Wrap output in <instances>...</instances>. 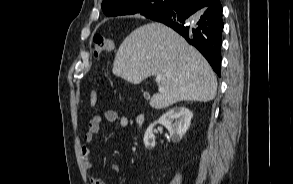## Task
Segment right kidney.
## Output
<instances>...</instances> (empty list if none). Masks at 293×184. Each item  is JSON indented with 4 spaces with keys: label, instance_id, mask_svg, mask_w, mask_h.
I'll return each instance as SVG.
<instances>
[{
    "label": "right kidney",
    "instance_id": "ca27d5eb",
    "mask_svg": "<svg viewBox=\"0 0 293 184\" xmlns=\"http://www.w3.org/2000/svg\"><path fill=\"white\" fill-rule=\"evenodd\" d=\"M192 112L185 107L173 108L164 113L158 121L150 124L145 131L143 142L146 148H153L155 146V136L153 134V127L160 123L167 128L169 134L174 142L182 139L190 126Z\"/></svg>",
    "mask_w": 293,
    "mask_h": 184
}]
</instances>
